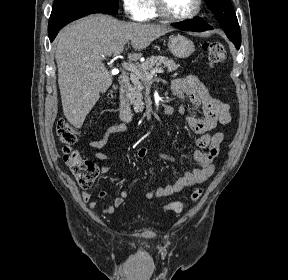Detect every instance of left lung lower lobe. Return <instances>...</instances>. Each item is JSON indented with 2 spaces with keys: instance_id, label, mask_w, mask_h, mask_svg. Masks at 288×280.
Segmentation results:
<instances>
[{
  "instance_id": "0a47b994",
  "label": "left lung lower lobe",
  "mask_w": 288,
  "mask_h": 280,
  "mask_svg": "<svg viewBox=\"0 0 288 280\" xmlns=\"http://www.w3.org/2000/svg\"><path fill=\"white\" fill-rule=\"evenodd\" d=\"M172 26H175L183 30H187V31H198V32L213 29L200 17H196L195 19L190 20V21L172 24ZM234 45L236 46L237 49L240 48V44H234Z\"/></svg>"
}]
</instances>
